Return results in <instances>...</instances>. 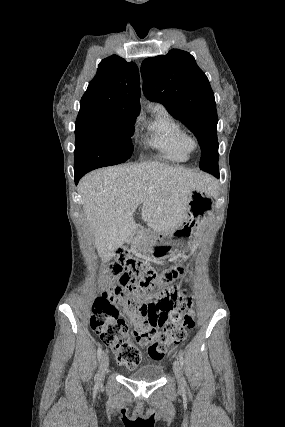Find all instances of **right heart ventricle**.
I'll return each instance as SVG.
<instances>
[{
	"label": "right heart ventricle",
	"instance_id": "1",
	"mask_svg": "<svg viewBox=\"0 0 285 427\" xmlns=\"http://www.w3.org/2000/svg\"><path fill=\"white\" fill-rule=\"evenodd\" d=\"M148 128L151 146L164 158L174 162L189 159L191 150L184 142L185 131L163 106L157 105L152 109Z\"/></svg>",
	"mask_w": 285,
	"mask_h": 427
}]
</instances>
